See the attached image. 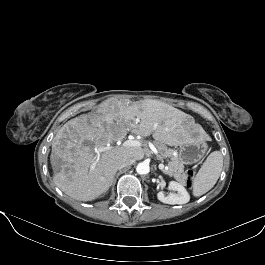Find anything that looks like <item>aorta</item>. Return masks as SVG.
Returning <instances> with one entry per match:
<instances>
[{
	"mask_svg": "<svg viewBox=\"0 0 265 265\" xmlns=\"http://www.w3.org/2000/svg\"><path fill=\"white\" fill-rule=\"evenodd\" d=\"M136 172L140 175L149 173V165L145 162H141L136 167Z\"/></svg>",
	"mask_w": 265,
	"mask_h": 265,
	"instance_id": "obj_1",
	"label": "aorta"
}]
</instances>
